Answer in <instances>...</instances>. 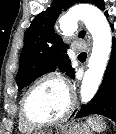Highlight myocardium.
<instances>
[{
	"mask_svg": "<svg viewBox=\"0 0 116 134\" xmlns=\"http://www.w3.org/2000/svg\"><path fill=\"white\" fill-rule=\"evenodd\" d=\"M46 81H55L58 82L60 84H62L65 89L68 92V96H69V103H68V107L66 109V111L59 117L54 118V119H50V120H45V121H37L34 120L33 118H31L27 111H26V100L28 95L30 94V92L38 85H40L43 82ZM75 106V95L73 90L71 89V87L68 85V83L59 75L56 74H48V75H44L42 77H40L39 79H37L36 81H34L24 92V94L22 95V98L20 100V115L22 117V119L30 126L34 127V128H44V127H49V126H53V125H57L60 124L64 121H66L69 116L72 114L73 109Z\"/></svg>",
	"mask_w": 116,
	"mask_h": 134,
	"instance_id": "f54148a6",
	"label": "myocardium"
}]
</instances>
